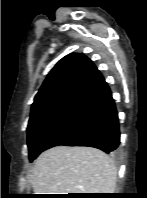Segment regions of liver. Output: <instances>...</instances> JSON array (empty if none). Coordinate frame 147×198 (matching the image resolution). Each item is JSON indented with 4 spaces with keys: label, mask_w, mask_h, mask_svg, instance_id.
Here are the masks:
<instances>
[{
    "label": "liver",
    "mask_w": 147,
    "mask_h": 198,
    "mask_svg": "<svg viewBox=\"0 0 147 198\" xmlns=\"http://www.w3.org/2000/svg\"><path fill=\"white\" fill-rule=\"evenodd\" d=\"M29 177L35 194L113 193L117 169L99 149L56 146L39 155Z\"/></svg>",
    "instance_id": "obj_1"
}]
</instances>
